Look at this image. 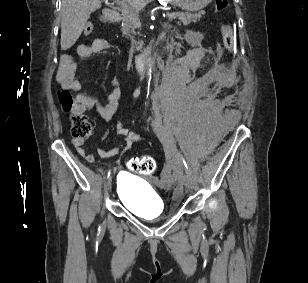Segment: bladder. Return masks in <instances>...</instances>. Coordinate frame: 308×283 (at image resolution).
<instances>
[{"label": "bladder", "instance_id": "31cf9c89", "mask_svg": "<svg viewBox=\"0 0 308 283\" xmlns=\"http://www.w3.org/2000/svg\"><path fill=\"white\" fill-rule=\"evenodd\" d=\"M116 194L120 202L133 214L142 218H157L164 214V203L145 180L121 172L117 178Z\"/></svg>", "mask_w": 308, "mask_h": 283}]
</instances>
